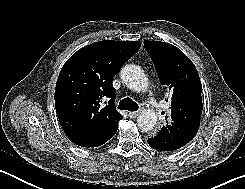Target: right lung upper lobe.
Masks as SVG:
<instances>
[{
    "mask_svg": "<svg viewBox=\"0 0 245 189\" xmlns=\"http://www.w3.org/2000/svg\"><path fill=\"white\" fill-rule=\"evenodd\" d=\"M140 42L105 40L87 45L62 67L55 88V108L67 136L82 147L111 139L123 118L115 109L113 77L140 49ZM107 100V105L103 102Z\"/></svg>",
    "mask_w": 245,
    "mask_h": 189,
    "instance_id": "obj_1",
    "label": "right lung upper lobe"
}]
</instances>
